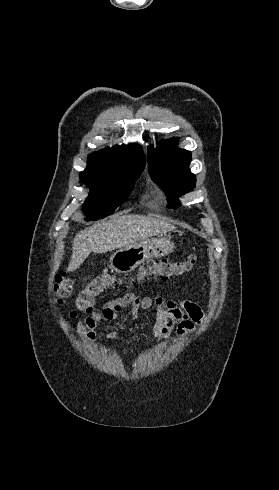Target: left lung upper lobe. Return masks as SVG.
<instances>
[{"instance_id":"left-lung-upper-lobe-1","label":"left lung upper lobe","mask_w":279,"mask_h":490,"mask_svg":"<svg viewBox=\"0 0 279 490\" xmlns=\"http://www.w3.org/2000/svg\"><path fill=\"white\" fill-rule=\"evenodd\" d=\"M178 140L169 139L158 143L157 148H148V163L152 179L159 184L167 196L169 206L180 204L178 196L190 192L196 176L188 168L191 161L189 151L177 147Z\"/></svg>"}]
</instances>
